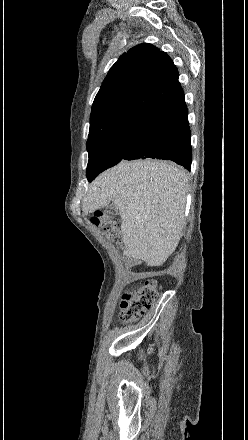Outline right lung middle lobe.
I'll list each match as a JSON object with an SVG mask.
<instances>
[{"instance_id": "1", "label": "right lung middle lobe", "mask_w": 248, "mask_h": 440, "mask_svg": "<svg viewBox=\"0 0 248 440\" xmlns=\"http://www.w3.org/2000/svg\"><path fill=\"white\" fill-rule=\"evenodd\" d=\"M129 143V130L119 131L87 147V178L91 182L99 173L119 163Z\"/></svg>"}]
</instances>
